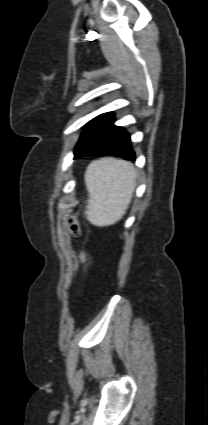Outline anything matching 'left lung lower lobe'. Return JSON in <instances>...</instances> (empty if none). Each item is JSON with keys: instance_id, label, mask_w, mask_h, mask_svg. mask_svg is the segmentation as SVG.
Wrapping results in <instances>:
<instances>
[{"instance_id": "obj_1", "label": "left lung lower lobe", "mask_w": 208, "mask_h": 425, "mask_svg": "<svg viewBox=\"0 0 208 425\" xmlns=\"http://www.w3.org/2000/svg\"><path fill=\"white\" fill-rule=\"evenodd\" d=\"M113 123L112 112L102 114L89 123L79 140L82 144L79 156L111 155L135 161L129 134Z\"/></svg>"}]
</instances>
